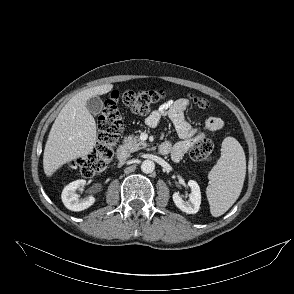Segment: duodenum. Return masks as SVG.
Masks as SVG:
<instances>
[{
  "label": "duodenum",
  "mask_w": 294,
  "mask_h": 294,
  "mask_svg": "<svg viewBox=\"0 0 294 294\" xmlns=\"http://www.w3.org/2000/svg\"><path fill=\"white\" fill-rule=\"evenodd\" d=\"M168 149H169V146L166 143H161L158 146V151L161 154H166ZM127 157H128V153H127L126 147L124 145H120L118 147V149H117V158H118V160L120 162H125L127 160Z\"/></svg>",
  "instance_id": "410a0bca"
}]
</instances>
